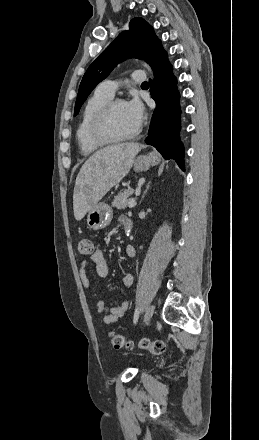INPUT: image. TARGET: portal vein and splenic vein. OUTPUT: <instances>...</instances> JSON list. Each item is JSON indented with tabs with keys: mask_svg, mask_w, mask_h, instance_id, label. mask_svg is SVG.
Listing matches in <instances>:
<instances>
[{
	"mask_svg": "<svg viewBox=\"0 0 259 440\" xmlns=\"http://www.w3.org/2000/svg\"><path fill=\"white\" fill-rule=\"evenodd\" d=\"M136 195H139V193H136ZM136 206V200L135 199H131L129 202H128V207L129 208H133V207H135Z\"/></svg>",
	"mask_w": 259,
	"mask_h": 440,
	"instance_id": "portal-vein-and-splenic-vein-1",
	"label": "portal vein and splenic vein"
}]
</instances>
